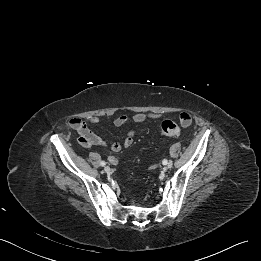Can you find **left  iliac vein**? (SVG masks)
Here are the masks:
<instances>
[{
    "instance_id": "obj_1",
    "label": "left iliac vein",
    "mask_w": 261,
    "mask_h": 261,
    "mask_svg": "<svg viewBox=\"0 0 261 261\" xmlns=\"http://www.w3.org/2000/svg\"><path fill=\"white\" fill-rule=\"evenodd\" d=\"M165 165H166L167 168H171V167H172V162L169 161V162H167Z\"/></svg>"
}]
</instances>
